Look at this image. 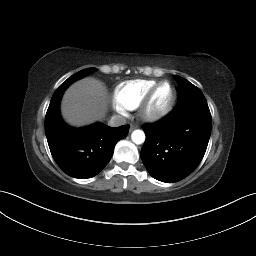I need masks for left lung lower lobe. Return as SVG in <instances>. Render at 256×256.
Listing matches in <instances>:
<instances>
[{
    "label": "left lung lower lobe",
    "mask_w": 256,
    "mask_h": 256,
    "mask_svg": "<svg viewBox=\"0 0 256 256\" xmlns=\"http://www.w3.org/2000/svg\"><path fill=\"white\" fill-rule=\"evenodd\" d=\"M143 128L141 159L146 169L159 181L177 182L201 162L211 134V114L207 104H190Z\"/></svg>",
    "instance_id": "0a47b994"
}]
</instances>
